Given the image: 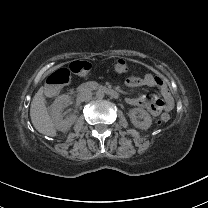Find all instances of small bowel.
I'll list each match as a JSON object with an SVG mask.
<instances>
[{
	"label": "small bowel",
	"mask_w": 208,
	"mask_h": 208,
	"mask_svg": "<svg viewBox=\"0 0 208 208\" xmlns=\"http://www.w3.org/2000/svg\"><path fill=\"white\" fill-rule=\"evenodd\" d=\"M126 85L130 87H157L161 99H153L145 96L132 97L127 101L134 106H141L148 109L151 114L157 116L162 111H170L173 107V98L166 81L159 76L147 74L144 76L131 75L125 79Z\"/></svg>",
	"instance_id": "small-bowel-1"
}]
</instances>
